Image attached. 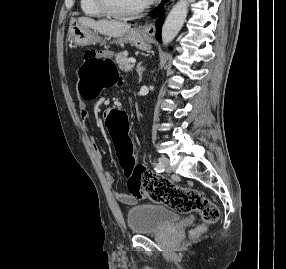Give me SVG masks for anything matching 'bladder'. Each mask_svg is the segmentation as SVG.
Instances as JSON below:
<instances>
[{"label": "bladder", "mask_w": 286, "mask_h": 269, "mask_svg": "<svg viewBox=\"0 0 286 269\" xmlns=\"http://www.w3.org/2000/svg\"><path fill=\"white\" fill-rule=\"evenodd\" d=\"M179 220L178 213L158 205H138L127 211L128 227L136 235L167 229Z\"/></svg>", "instance_id": "bladder-1"}]
</instances>
